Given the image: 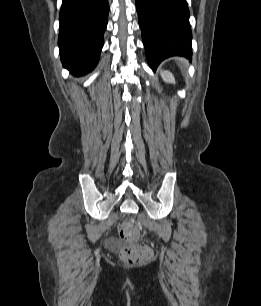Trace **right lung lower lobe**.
<instances>
[{"mask_svg": "<svg viewBox=\"0 0 261 306\" xmlns=\"http://www.w3.org/2000/svg\"><path fill=\"white\" fill-rule=\"evenodd\" d=\"M108 12V0H62L58 45L63 66L74 75L96 66Z\"/></svg>", "mask_w": 261, "mask_h": 306, "instance_id": "1", "label": "right lung lower lobe"}]
</instances>
